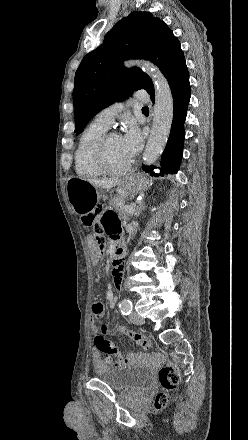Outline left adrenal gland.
<instances>
[{"label":"left adrenal gland","instance_id":"obj_1","mask_svg":"<svg viewBox=\"0 0 248 440\" xmlns=\"http://www.w3.org/2000/svg\"><path fill=\"white\" fill-rule=\"evenodd\" d=\"M144 209H145V205H144V201L142 200L139 202V204L136 208V211L134 213V216L138 217L140 215V213L142 212V210H144Z\"/></svg>","mask_w":248,"mask_h":440}]
</instances>
